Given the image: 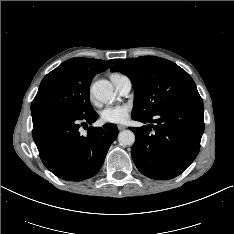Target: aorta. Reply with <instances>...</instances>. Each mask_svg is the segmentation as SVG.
Listing matches in <instances>:
<instances>
[{"mask_svg": "<svg viewBox=\"0 0 234 234\" xmlns=\"http://www.w3.org/2000/svg\"><path fill=\"white\" fill-rule=\"evenodd\" d=\"M91 92L96 99L103 103L110 102L114 99V89L108 80H98L91 88ZM118 141L123 146L133 145L135 142V135L130 130H124L119 133Z\"/></svg>", "mask_w": 234, "mask_h": 234, "instance_id": "1", "label": "aorta"}]
</instances>
